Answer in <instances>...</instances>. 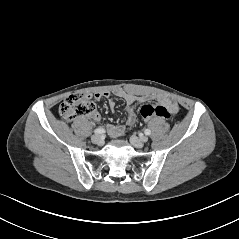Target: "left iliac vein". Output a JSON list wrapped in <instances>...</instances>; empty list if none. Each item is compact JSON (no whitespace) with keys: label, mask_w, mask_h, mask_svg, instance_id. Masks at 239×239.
Instances as JSON below:
<instances>
[{"label":"left iliac vein","mask_w":239,"mask_h":239,"mask_svg":"<svg viewBox=\"0 0 239 239\" xmlns=\"http://www.w3.org/2000/svg\"><path fill=\"white\" fill-rule=\"evenodd\" d=\"M148 141L147 137H142V138H138L136 136H131L130 138V142L134 147L137 148H142L144 146V143Z\"/></svg>","instance_id":"1"}]
</instances>
